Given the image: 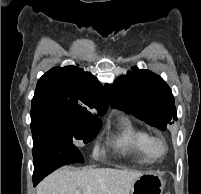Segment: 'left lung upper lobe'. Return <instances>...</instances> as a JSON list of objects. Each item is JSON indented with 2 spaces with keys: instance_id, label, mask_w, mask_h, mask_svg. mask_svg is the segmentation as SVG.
<instances>
[{
  "instance_id": "obj_1",
  "label": "left lung upper lobe",
  "mask_w": 201,
  "mask_h": 194,
  "mask_svg": "<svg viewBox=\"0 0 201 194\" xmlns=\"http://www.w3.org/2000/svg\"><path fill=\"white\" fill-rule=\"evenodd\" d=\"M107 99L112 108L132 113L160 130L177 120L171 89L158 75L132 68L117 79L114 86H106Z\"/></svg>"
}]
</instances>
